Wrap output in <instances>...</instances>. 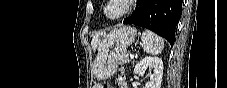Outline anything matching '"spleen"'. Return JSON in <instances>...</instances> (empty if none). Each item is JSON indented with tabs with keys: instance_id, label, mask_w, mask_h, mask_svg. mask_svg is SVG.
<instances>
[{
	"instance_id": "3e777b00",
	"label": "spleen",
	"mask_w": 227,
	"mask_h": 88,
	"mask_svg": "<svg viewBox=\"0 0 227 88\" xmlns=\"http://www.w3.org/2000/svg\"><path fill=\"white\" fill-rule=\"evenodd\" d=\"M144 51L150 54H158L164 48L163 39L150 30H145L141 37Z\"/></svg>"
}]
</instances>
